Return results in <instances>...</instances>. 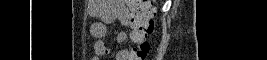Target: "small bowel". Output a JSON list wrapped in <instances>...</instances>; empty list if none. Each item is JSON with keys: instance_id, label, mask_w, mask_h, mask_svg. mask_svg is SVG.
Segmentation results:
<instances>
[{"instance_id": "small-bowel-1", "label": "small bowel", "mask_w": 267, "mask_h": 60, "mask_svg": "<svg viewBox=\"0 0 267 60\" xmlns=\"http://www.w3.org/2000/svg\"><path fill=\"white\" fill-rule=\"evenodd\" d=\"M123 0H91L89 1V14L92 17L99 18V21L93 23L90 28V33L95 39L94 52L96 56L93 60H98L101 56L111 54L112 49L107 45L108 27L107 25L113 22H118L121 25L131 27V40L137 42V33L133 29L132 16ZM128 35L125 32H120L116 36V41L119 44L126 43ZM116 60H133V48H127L119 51L116 55Z\"/></svg>"}]
</instances>
